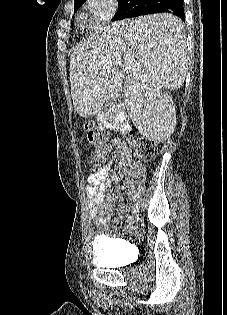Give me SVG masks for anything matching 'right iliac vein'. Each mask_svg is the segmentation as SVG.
Returning a JSON list of instances; mask_svg holds the SVG:
<instances>
[{"instance_id":"right-iliac-vein-1","label":"right iliac vein","mask_w":227,"mask_h":315,"mask_svg":"<svg viewBox=\"0 0 227 315\" xmlns=\"http://www.w3.org/2000/svg\"><path fill=\"white\" fill-rule=\"evenodd\" d=\"M139 218V214L138 213H134L132 216H130L129 218V223H134L136 220H138Z\"/></svg>"}]
</instances>
